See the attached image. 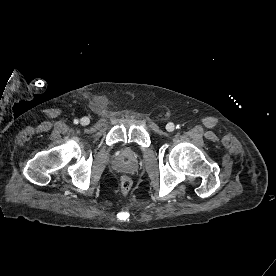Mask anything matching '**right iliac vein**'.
Here are the masks:
<instances>
[{
    "label": "right iliac vein",
    "mask_w": 276,
    "mask_h": 276,
    "mask_svg": "<svg viewBox=\"0 0 276 276\" xmlns=\"http://www.w3.org/2000/svg\"><path fill=\"white\" fill-rule=\"evenodd\" d=\"M89 122H90V120H89V118H87V117H83V118H81V120H80V124L83 125V126L88 125Z\"/></svg>",
    "instance_id": "right-iliac-vein-1"
}]
</instances>
